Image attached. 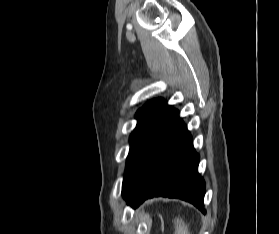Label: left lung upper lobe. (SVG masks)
Here are the masks:
<instances>
[{"mask_svg": "<svg viewBox=\"0 0 279 234\" xmlns=\"http://www.w3.org/2000/svg\"><path fill=\"white\" fill-rule=\"evenodd\" d=\"M163 102V98H157L149 101L145 104L141 109H139L136 113V118L138 119L137 126L133 133L130 136V151L127 157L125 175L123 180V185L129 175V172L132 167V163L134 161L135 155L138 151V148L142 142V139L150 126L152 120L157 114L161 104Z\"/></svg>", "mask_w": 279, "mask_h": 234, "instance_id": "obj_1", "label": "left lung upper lobe"}]
</instances>
